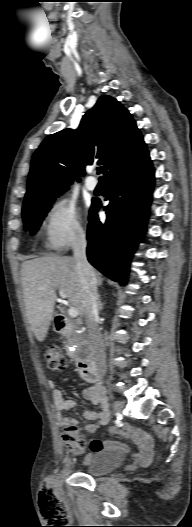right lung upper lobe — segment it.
<instances>
[{
	"label": "right lung upper lobe",
	"mask_w": 192,
	"mask_h": 527,
	"mask_svg": "<svg viewBox=\"0 0 192 527\" xmlns=\"http://www.w3.org/2000/svg\"><path fill=\"white\" fill-rule=\"evenodd\" d=\"M143 143L131 114L116 99L103 95L86 112L76 130L49 135L33 155L23 207L56 197L85 166L103 165L104 176ZM79 181V179H78Z\"/></svg>",
	"instance_id": "1"
}]
</instances>
